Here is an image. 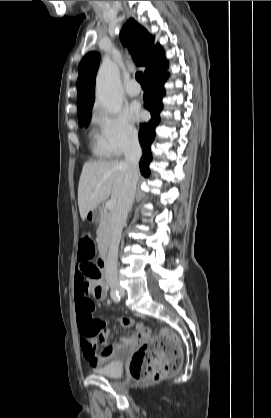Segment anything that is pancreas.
I'll use <instances>...</instances> for the list:
<instances>
[{
  "instance_id": "cf45deb5",
  "label": "pancreas",
  "mask_w": 271,
  "mask_h": 418,
  "mask_svg": "<svg viewBox=\"0 0 271 418\" xmlns=\"http://www.w3.org/2000/svg\"><path fill=\"white\" fill-rule=\"evenodd\" d=\"M111 234V215L105 211L101 216L97 229V243L100 249L105 248L108 245Z\"/></svg>"
}]
</instances>
